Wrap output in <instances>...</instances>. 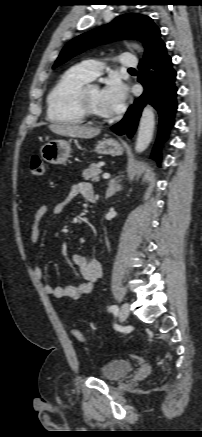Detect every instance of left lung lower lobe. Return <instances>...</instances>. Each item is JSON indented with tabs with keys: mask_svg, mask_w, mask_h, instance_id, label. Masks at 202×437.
Segmentation results:
<instances>
[{
	"mask_svg": "<svg viewBox=\"0 0 202 437\" xmlns=\"http://www.w3.org/2000/svg\"><path fill=\"white\" fill-rule=\"evenodd\" d=\"M138 81L144 87V93L127 110L124 118L111 127L118 135L131 137L137 127L143 107L149 103L159 114L158 137L151 158L160 162V148L169 135L177 111L176 71L172 59L167 54L165 43L161 44L150 57L139 64Z\"/></svg>",
	"mask_w": 202,
	"mask_h": 437,
	"instance_id": "obj_1",
	"label": "left lung lower lobe"
}]
</instances>
